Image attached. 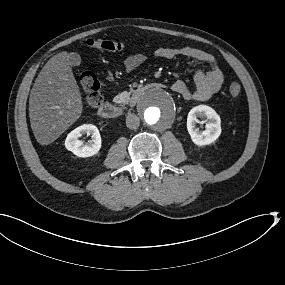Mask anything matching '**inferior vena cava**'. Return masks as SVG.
Listing matches in <instances>:
<instances>
[{
    "instance_id": "1",
    "label": "inferior vena cava",
    "mask_w": 285,
    "mask_h": 285,
    "mask_svg": "<svg viewBox=\"0 0 285 285\" xmlns=\"http://www.w3.org/2000/svg\"><path fill=\"white\" fill-rule=\"evenodd\" d=\"M126 125L129 129H137L140 125V118L136 114H129L126 117Z\"/></svg>"
}]
</instances>
